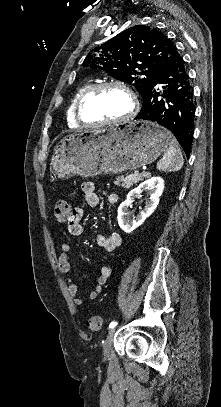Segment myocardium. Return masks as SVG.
Segmentation results:
<instances>
[{"mask_svg": "<svg viewBox=\"0 0 221 407\" xmlns=\"http://www.w3.org/2000/svg\"><path fill=\"white\" fill-rule=\"evenodd\" d=\"M107 88H117L125 91L131 99V109L130 111L117 119L107 120V121H91L89 120L84 112L86 104L94 97L98 92ZM139 108V102L136 93L126 84L120 82H104L92 85L88 88L77 100L75 105V116L79 123L84 125H114L125 122L131 119L137 113Z\"/></svg>", "mask_w": 221, "mask_h": 407, "instance_id": "1", "label": "myocardium"}]
</instances>
